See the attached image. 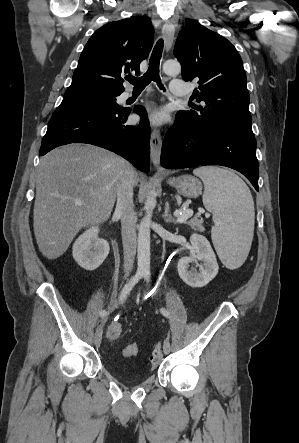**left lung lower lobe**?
<instances>
[{"label":"left lung lower lobe","mask_w":299,"mask_h":443,"mask_svg":"<svg viewBox=\"0 0 299 443\" xmlns=\"http://www.w3.org/2000/svg\"><path fill=\"white\" fill-rule=\"evenodd\" d=\"M161 165L168 169L222 165L241 172L258 188L256 140L251 128L216 126L203 128L176 114L164 138Z\"/></svg>","instance_id":"1"}]
</instances>
